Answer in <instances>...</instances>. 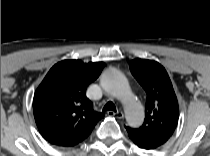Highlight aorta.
<instances>
[{
    "label": "aorta",
    "instance_id": "1",
    "mask_svg": "<svg viewBox=\"0 0 210 156\" xmlns=\"http://www.w3.org/2000/svg\"><path fill=\"white\" fill-rule=\"evenodd\" d=\"M106 87L123 102L128 121L140 124L144 118V108L131 92L126 79L117 73L111 74L106 80Z\"/></svg>",
    "mask_w": 210,
    "mask_h": 156
}]
</instances>
